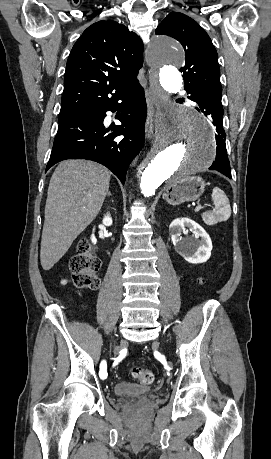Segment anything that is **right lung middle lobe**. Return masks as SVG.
<instances>
[{"label": "right lung middle lobe", "mask_w": 271, "mask_h": 459, "mask_svg": "<svg viewBox=\"0 0 271 459\" xmlns=\"http://www.w3.org/2000/svg\"><path fill=\"white\" fill-rule=\"evenodd\" d=\"M98 106H88L76 111L60 112L58 122L66 121L78 116L95 114Z\"/></svg>", "instance_id": "1"}]
</instances>
